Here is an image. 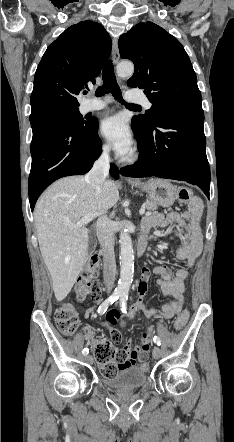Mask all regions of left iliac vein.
I'll return each mask as SVG.
<instances>
[{"label": "left iliac vein", "mask_w": 234, "mask_h": 442, "mask_svg": "<svg viewBox=\"0 0 234 442\" xmlns=\"http://www.w3.org/2000/svg\"><path fill=\"white\" fill-rule=\"evenodd\" d=\"M152 355L155 359H159L161 356V349L158 346H155Z\"/></svg>", "instance_id": "left-iliac-vein-1"}]
</instances>
